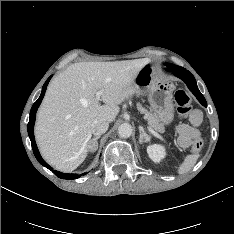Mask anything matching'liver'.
Segmentation results:
<instances>
[{"mask_svg": "<svg viewBox=\"0 0 234 234\" xmlns=\"http://www.w3.org/2000/svg\"><path fill=\"white\" fill-rule=\"evenodd\" d=\"M148 62L145 58L79 62L56 76L47 88L35 124L43 158L59 171L75 170L90 150L91 124L100 119L115 120L119 105L135 94L133 81ZM97 92H101L99 100Z\"/></svg>", "mask_w": 234, "mask_h": 234, "instance_id": "6515ba94", "label": "liver"}]
</instances>
